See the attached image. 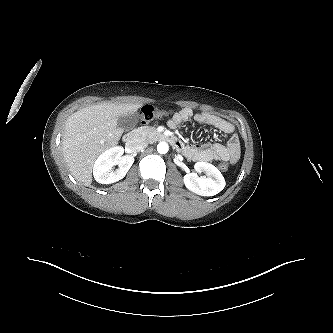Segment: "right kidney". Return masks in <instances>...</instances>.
<instances>
[{
	"instance_id": "ca27d5eb",
	"label": "right kidney",
	"mask_w": 333,
	"mask_h": 333,
	"mask_svg": "<svg viewBox=\"0 0 333 333\" xmlns=\"http://www.w3.org/2000/svg\"><path fill=\"white\" fill-rule=\"evenodd\" d=\"M121 146L112 147L103 152L95 161L93 175L95 180L101 184H111L123 179L134 162L131 155H124ZM119 168L112 170V166Z\"/></svg>"
}]
</instances>
